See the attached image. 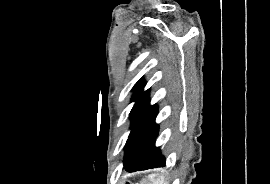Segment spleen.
<instances>
[{
  "mask_svg": "<svg viewBox=\"0 0 270 184\" xmlns=\"http://www.w3.org/2000/svg\"><path fill=\"white\" fill-rule=\"evenodd\" d=\"M139 184H166L162 176L156 177L151 174L147 178H144Z\"/></svg>",
  "mask_w": 270,
  "mask_h": 184,
  "instance_id": "3e777b00",
  "label": "spleen"
}]
</instances>
